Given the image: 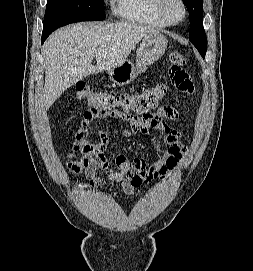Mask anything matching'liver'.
<instances>
[{
    "label": "liver",
    "instance_id": "liver-1",
    "mask_svg": "<svg viewBox=\"0 0 253 271\" xmlns=\"http://www.w3.org/2000/svg\"><path fill=\"white\" fill-rule=\"evenodd\" d=\"M157 32L133 22L76 23L58 29L43 45V108L47 110L68 87L86 76L122 64L142 38Z\"/></svg>",
    "mask_w": 253,
    "mask_h": 271
}]
</instances>
